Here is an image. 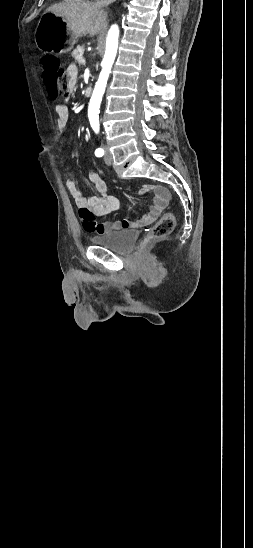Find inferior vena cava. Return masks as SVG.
I'll list each match as a JSON object with an SVG mask.
<instances>
[{"instance_id":"obj_1","label":"inferior vena cava","mask_w":253,"mask_h":548,"mask_svg":"<svg viewBox=\"0 0 253 548\" xmlns=\"http://www.w3.org/2000/svg\"><path fill=\"white\" fill-rule=\"evenodd\" d=\"M114 1L115 0H98L97 2L101 7H105V6H108L109 4H111Z\"/></svg>"}]
</instances>
